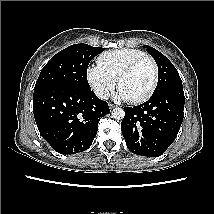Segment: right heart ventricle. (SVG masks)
Listing matches in <instances>:
<instances>
[{
  "label": "right heart ventricle",
  "mask_w": 214,
  "mask_h": 214,
  "mask_svg": "<svg viewBox=\"0 0 214 214\" xmlns=\"http://www.w3.org/2000/svg\"><path fill=\"white\" fill-rule=\"evenodd\" d=\"M143 56L146 54L141 50L120 48L104 52L98 57L97 63L117 79L127 65Z\"/></svg>",
  "instance_id": "1"
}]
</instances>
